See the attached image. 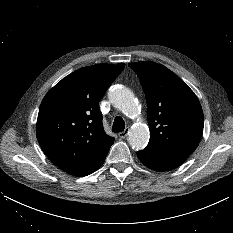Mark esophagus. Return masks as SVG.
<instances>
[{
	"instance_id": "1",
	"label": "esophagus",
	"mask_w": 233,
	"mask_h": 233,
	"mask_svg": "<svg viewBox=\"0 0 233 233\" xmlns=\"http://www.w3.org/2000/svg\"><path fill=\"white\" fill-rule=\"evenodd\" d=\"M128 134H129V128H126L124 131L119 133V137L121 139H124V138H126L128 136Z\"/></svg>"
}]
</instances>
